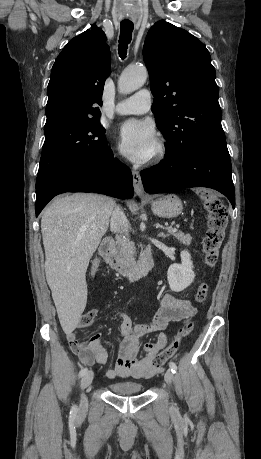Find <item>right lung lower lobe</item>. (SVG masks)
<instances>
[{
    "label": "right lung lower lobe",
    "mask_w": 261,
    "mask_h": 459,
    "mask_svg": "<svg viewBox=\"0 0 261 459\" xmlns=\"http://www.w3.org/2000/svg\"><path fill=\"white\" fill-rule=\"evenodd\" d=\"M65 192H96L128 199L134 194L130 169L113 157L83 161L58 169L36 182V217L56 195Z\"/></svg>",
    "instance_id": "right-lung-lower-lobe-1"
}]
</instances>
